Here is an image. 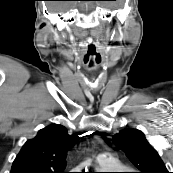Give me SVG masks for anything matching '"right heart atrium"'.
I'll use <instances>...</instances> for the list:
<instances>
[{"instance_id":"right-heart-atrium-1","label":"right heart atrium","mask_w":173,"mask_h":173,"mask_svg":"<svg viewBox=\"0 0 173 173\" xmlns=\"http://www.w3.org/2000/svg\"><path fill=\"white\" fill-rule=\"evenodd\" d=\"M74 169H79V167H74ZM75 173H79V172H75Z\"/></svg>"}]
</instances>
